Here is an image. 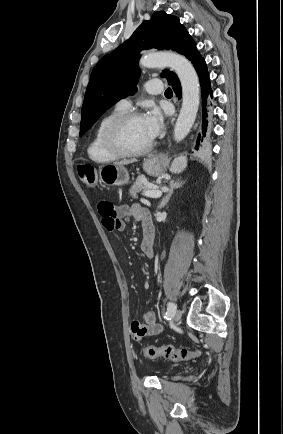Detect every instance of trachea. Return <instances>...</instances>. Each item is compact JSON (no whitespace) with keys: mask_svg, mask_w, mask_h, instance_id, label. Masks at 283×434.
Masks as SVG:
<instances>
[{"mask_svg":"<svg viewBox=\"0 0 283 434\" xmlns=\"http://www.w3.org/2000/svg\"><path fill=\"white\" fill-rule=\"evenodd\" d=\"M170 94H172V90L171 88H167L165 91V95H170Z\"/></svg>","mask_w":283,"mask_h":434,"instance_id":"3493384b","label":"trachea"}]
</instances>
